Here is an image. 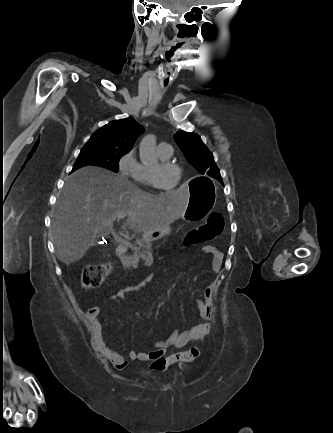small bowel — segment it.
Wrapping results in <instances>:
<instances>
[{
	"label": "small bowel",
	"mask_w": 333,
	"mask_h": 433,
	"mask_svg": "<svg viewBox=\"0 0 333 433\" xmlns=\"http://www.w3.org/2000/svg\"><path fill=\"white\" fill-rule=\"evenodd\" d=\"M202 251L212 255V270L217 272L221 266L223 254L214 246L205 245ZM153 280V275H148L138 284L122 288L110 296L111 299L123 300L130 293L136 292L141 287L146 286ZM195 305L201 322L191 325L182 331L173 330L165 339L155 342L151 350L136 352L128 351L126 355L117 351L113 346L106 344L102 333V324L100 320V310L98 307L89 308L86 311L85 317L90 325L93 340L101 354L110 362L112 366L121 370L127 360H138L142 362H150L152 364L157 360L164 358L166 350L169 348H182L191 341L202 340L205 338L211 329L210 320L214 314V290L211 286L204 289L202 298L195 300Z\"/></svg>",
	"instance_id": "1"
}]
</instances>
